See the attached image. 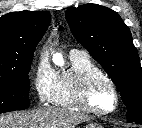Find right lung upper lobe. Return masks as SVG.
Here are the masks:
<instances>
[{
	"mask_svg": "<svg viewBox=\"0 0 142 128\" xmlns=\"http://www.w3.org/2000/svg\"><path fill=\"white\" fill-rule=\"evenodd\" d=\"M49 23L48 11L25 10L0 17V73L32 60Z\"/></svg>",
	"mask_w": 142,
	"mask_h": 128,
	"instance_id": "right-lung-upper-lobe-1",
	"label": "right lung upper lobe"
}]
</instances>
